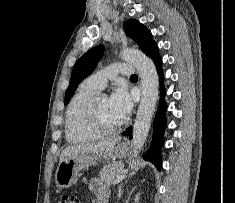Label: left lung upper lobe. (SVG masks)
<instances>
[{
  "label": "left lung upper lobe",
  "mask_w": 235,
  "mask_h": 203,
  "mask_svg": "<svg viewBox=\"0 0 235 203\" xmlns=\"http://www.w3.org/2000/svg\"><path fill=\"white\" fill-rule=\"evenodd\" d=\"M124 29L126 34L137 42L145 54L155 44L151 32L135 19L124 22ZM104 49L103 45H98L78 59L73 67L70 84L65 94V105L73 96L78 84L93 72L104 53Z\"/></svg>",
  "instance_id": "obj_1"
}]
</instances>
